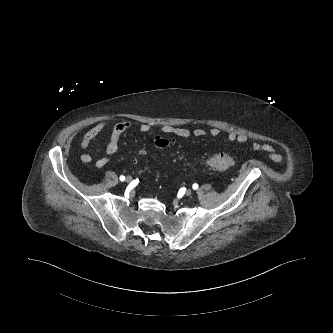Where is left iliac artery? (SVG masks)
<instances>
[{"instance_id": "1", "label": "left iliac artery", "mask_w": 333, "mask_h": 333, "mask_svg": "<svg viewBox=\"0 0 333 333\" xmlns=\"http://www.w3.org/2000/svg\"><path fill=\"white\" fill-rule=\"evenodd\" d=\"M192 188H193L194 190H197V189H198V184H197V183H194V184L192 185Z\"/></svg>"}]
</instances>
